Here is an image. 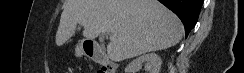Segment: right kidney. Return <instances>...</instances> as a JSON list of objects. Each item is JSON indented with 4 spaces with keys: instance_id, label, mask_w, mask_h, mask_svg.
I'll return each mask as SVG.
<instances>
[{
    "instance_id": "obj_1",
    "label": "right kidney",
    "mask_w": 244,
    "mask_h": 73,
    "mask_svg": "<svg viewBox=\"0 0 244 73\" xmlns=\"http://www.w3.org/2000/svg\"><path fill=\"white\" fill-rule=\"evenodd\" d=\"M161 63V58L156 53L144 54L129 63L125 68V73H137L143 64L149 73H159Z\"/></svg>"
}]
</instances>
